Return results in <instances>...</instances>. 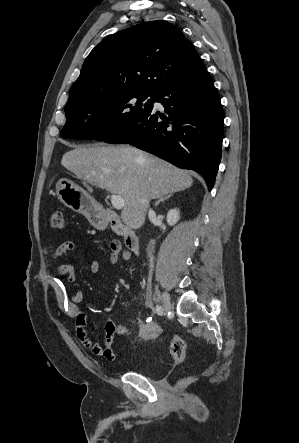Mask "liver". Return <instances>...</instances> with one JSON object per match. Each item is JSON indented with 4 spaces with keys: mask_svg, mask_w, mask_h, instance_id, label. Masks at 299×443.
<instances>
[{
    "mask_svg": "<svg viewBox=\"0 0 299 443\" xmlns=\"http://www.w3.org/2000/svg\"><path fill=\"white\" fill-rule=\"evenodd\" d=\"M62 166L79 179L124 199L122 222L140 228L151 199L190 188L191 175L131 146H77L66 152Z\"/></svg>",
    "mask_w": 299,
    "mask_h": 443,
    "instance_id": "6515ba94",
    "label": "liver"
}]
</instances>
